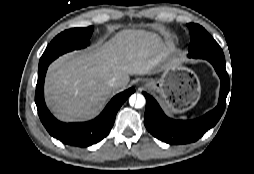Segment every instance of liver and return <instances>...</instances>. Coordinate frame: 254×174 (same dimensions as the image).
Instances as JSON below:
<instances>
[{"mask_svg": "<svg viewBox=\"0 0 254 174\" xmlns=\"http://www.w3.org/2000/svg\"><path fill=\"white\" fill-rule=\"evenodd\" d=\"M171 59V50L157 34L123 30L101 47L67 53L55 60L45 81L47 106L62 121L89 119L112 91L127 86L130 75L150 74ZM113 77L119 81L115 88L108 84Z\"/></svg>", "mask_w": 254, "mask_h": 174, "instance_id": "6515ba94", "label": "liver"}]
</instances>
